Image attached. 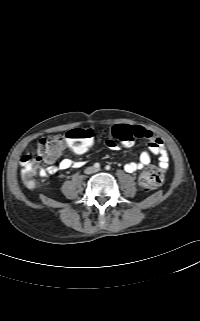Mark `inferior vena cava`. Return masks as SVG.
I'll list each match as a JSON object with an SVG mask.
<instances>
[{"mask_svg": "<svg viewBox=\"0 0 200 321\" xmlns=\"http://www.w3.org/2000/svg\"><path fill=\"white\" fill-rule=\"evenodd\" d=\"M85 172H87V173H94V172H97V169L92 168L89 172H88V169H87Z\"/></svg>", "mask_w": 200, "mask_h": 321, "instance_id": "obj_1", "label": "inferior vena cava"}]
</instances>
